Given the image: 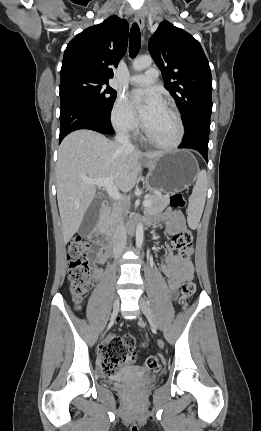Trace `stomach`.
Returning a JSON list of instances; mask_svg holds the SVG:
<instances>
[{
    "mask_svg": "<svg viewBox=\"0 0 261 431\" xmlns=\"http://www.w3.org/2000/svg\"><path fill=\"white\" fill-rule=\"evenodd\" d=\"M146 179L150 191L178 192L189 187L198 178L196 159L186 151L163 152L153 160L146 161Z\"/></svg>",
    "mask_w": 261,
    "mask_h": 431,
    "instance_id": "obj_1",
    "label": "stomach"
}]
</instances>
